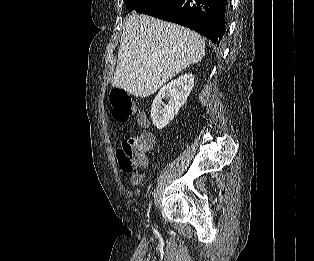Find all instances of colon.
Masks as SVG:
<instances>
[{"label": "colon", "mask_w": 314, "mask_h": 261, "mask_svg": "<svg viewBox=\"0 0 314 261\" xmlns=\"http://www.w3.org/2000/svg\"><path fill=\"white\" fill-rule=\"evenodd\" d=\"M109 101L112 106V116L117 122H126L137 111V105L129 93L122 88H114L109 94ZM154 144V137L150 133L125 138L117 150L118 161L121 170L132 175V182L138 183L140 175L135 171L142 162V156L149 151Z\"/></svg>", "instance_id": "obj_1"}]
</instances>
